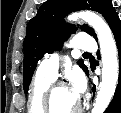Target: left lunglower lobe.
I'll return each mask as SVG.
<instances>
[{
    "instance_id": "0a47b994",
    "label": "left lung lower lobe",
    "mask_w": 121,
    "mask_h": 113,
    "mask_svg": "<svg viewBox=\"0 0 121 113\" xmlns=\"http://www.w3.org/2000/svg\"><path fill=\"white\" fill-rule=\"evenodd\" d=\"M114 34L119 54V79L113 100L104 113H121V21L117 17L110 26Z\"/></svg>"
}]
</instances>
